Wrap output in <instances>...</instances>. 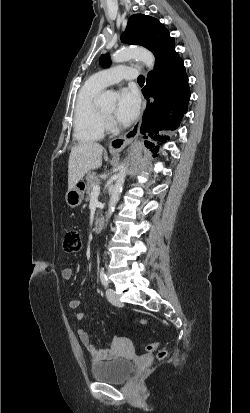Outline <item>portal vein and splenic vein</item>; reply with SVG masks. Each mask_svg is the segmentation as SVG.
<instances>
[{
    "instance_id": "1",
    "label": "portal vein and splenic vein",
    "mask_w": 250,
    "mask_h": 413,
    "mask_svg": "<svg viewBox=\"0 0 250 413\" xmlns=\"http://www.w3.org/2000/svg\"><path fill=\"white\" fill-rule=\"evenodd\" d=\"M99 192H100V186H99V185H95V186L93 187V192H92V194H99Z\"/></svg>"
}]
</instances>
